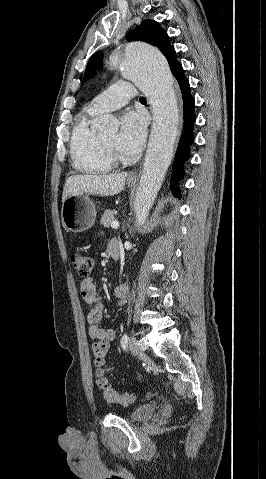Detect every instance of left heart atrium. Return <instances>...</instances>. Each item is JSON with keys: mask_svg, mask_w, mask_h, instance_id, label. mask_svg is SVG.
I'll use <instances>...</instances> for the list:
<instances>
[{"mask_svg": "<svg viewBox=\"0 0 266 479\" xmlns=\"http://www.w3.org/2000/svg\"><path fill=\"white\" fill-rule=\"evenodd\" d=\"M145 137V117L136 112L125 114L117 139L119 150L126 155L137 154L143 146Z\"/></svg>", "mask_w": 266, "mask_h": 479, "instance_id": "39dd6f15", "label": "left heart atrium"}]
</instances>
